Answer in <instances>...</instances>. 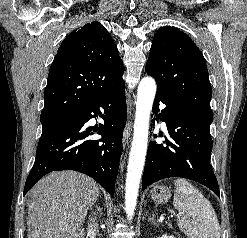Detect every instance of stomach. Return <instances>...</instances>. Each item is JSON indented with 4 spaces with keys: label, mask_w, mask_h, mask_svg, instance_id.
<instances>
[{
    "label": "stomach",
    "mask_w": 247,
    "mask_h": 238,
    "mask_svg": "<svg viewBox=\"0 0 247 238\" xmlns=\"http://www.w3.org/2000/svg\"><path fill=\"white\" fill-rule=\"evenodd\" d=\"M151 199L158 204L166 203L171 197V190L165 185H155L150 190Z\"/></svg>",
    "instance_id": "0dacf381"
}]
</instances>
